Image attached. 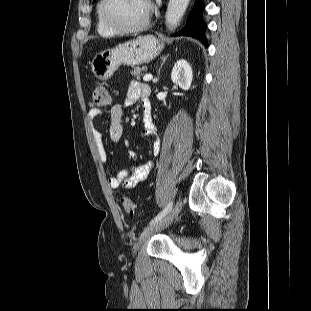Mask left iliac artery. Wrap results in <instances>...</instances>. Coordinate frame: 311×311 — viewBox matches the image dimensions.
<instances>
[{"label":"left iliac artery","instance_id":"left-iliac-artery-1","mask_svg":"<svg viewBox=\"0 0 311 311\" xmlns=\"http://www.w3.org/2000/svg\"><path fill=\"white\" fill-rule=\"evenodd\" d=\"M172 201L168 203V205L150 222V225L160 221L163 217H165L170 210L172 209Z\"/></svg>","mask_w":311,"mask_h":311}]
</instances>
